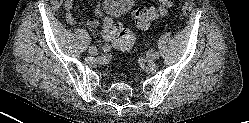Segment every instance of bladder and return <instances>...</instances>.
Instances as JSON below:
<instances>
[{"mask_svg":"<svg viewBox=\"0 0 249 123\" xmlns=\"http://www.w3.org/2000/svg\"><path fill=\"white\" fill-rule=\"evenodd\" d=\"M133 3V0H102V12L107 18L117 20L131 11Z\"/></svg>","mask_w":249,"mask_h":123,"instance_id":"1","label":"bladder"}]
</instances>
